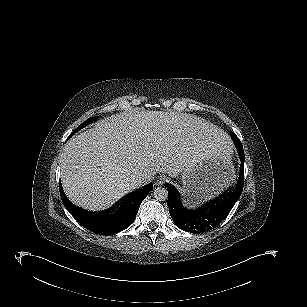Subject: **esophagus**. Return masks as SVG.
I'll return each instance as SVG.
<instances>
[{
    "mask_svg": "<svg viewBox=\"0 0 307 307\" xmlns=\"http://www.w3.org/2000/svg\"><path fill=\"white\" fill-rule=\"evenodd\" d=\"M166 181H167V179L165 177L161 176L156 180V185H163V184H165Z\"/></svg>",
    "mask_w": 307,
    "mask_h": 307,
    "instance_id": "obj_1",
    "label": "esophagus"
}]
</instances>
